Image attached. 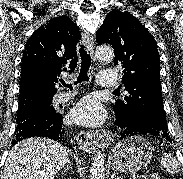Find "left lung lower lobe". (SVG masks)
<instances>
[{
    "mask_svg": "<svg viewBox=\"0 0 183 179\" xmlns=\"http://www.w3.org/2000/svg\"><path fill=\"white\" fill-rule=\"evenodd\" d=\"M115 123L120 130L121 138H126V137H130V136L137 135V134H139V135L140 134H149V135L162 137V138L168 140L169 142H171V138L169 137L168 131L157 130L155 128H151L144 124L137 123L135 121H132L125 117H121L119 115H116Z\"/></svg>",
    "mask_w": 183,
    "mask_h": 179,
    "instance_id": "0a47b994",
    "label": "left lung lower lobe"
}]
</instances>
